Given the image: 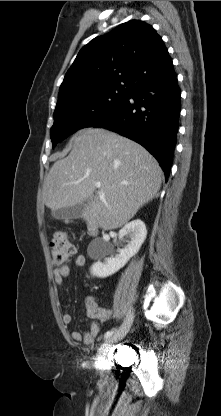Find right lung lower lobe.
<instances>
[{"label": "right lung lower lobe", "instance_id": "98d812e1", "mask_svg": "<svg viewBox=\"0 0 221 416\" xmlns=\"http://www.w3.org/2000/svg\"><path fill=\"white\" fill-rule=\"evenodd\" d=\"M180 95L173 69L166 78L135 86L111 118L93 127L117 132L144 146L158 160L167 181L177 141Z\"/></svg>", "mask_w": 221, "mask_h": 416}]
</instances>
